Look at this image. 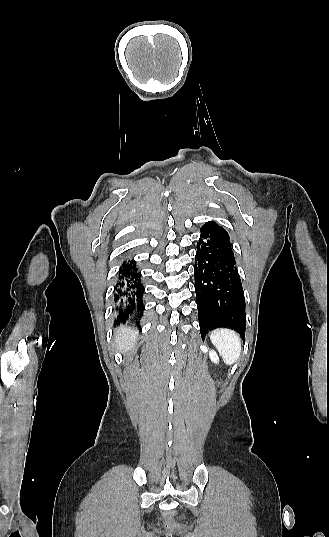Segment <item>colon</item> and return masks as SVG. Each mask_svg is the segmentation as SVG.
I'll list each match as a JSON object with an SVG mask.
<instances>
[{
	"mask_svg": "<svg viewBox=\"0 0 329 537\" xmlns=\"http://www.w3.org/2000/svg\"><path fill=\"white\" fill-rule=\"evenodd\" d=\"M162 516L164 519L168 520L167 522V527L169 528H175L176 527V523L171 520L172 518H174L176 516V513L170 509H166L163 511L162 513Z\"/></svg>",
	"mask_w": 329,
	"mask_h": 537,
	"instance_id": "colon-1",
	"label": "colon"
}]
</instances>
